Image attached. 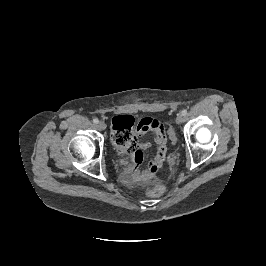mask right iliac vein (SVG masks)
<instances>
[{"label": "right iliac vein", "instance_id": "obj_1", "mask_svg": "<svg viewBox=\"0 0 266 266\" xmlns=\"http://www.w3.org/2000/svg\"><path fill=\"white\" fill-rule=\"evenodd\" d=\"M98 127H99V129H101V130H105V129H106V124H105L104 122H99V123H98Z\"/></svg>", "mask_w": 266, "mask_h": 266}]
</instances>
